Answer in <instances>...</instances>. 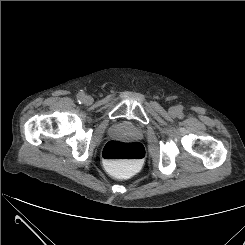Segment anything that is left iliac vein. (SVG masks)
Segmentation results:
<instances>
[{
	"instance_id": "4c4485c4",
	"label": "left iliac vein",
	"mask_w": 245,
	"mask_h": 245,
	"mask_svg": "<svg viewBox=\"0 0 245 245\" xmlns=\"http://www.w3.org/2000/svg\"><path fill=\"white\" fill-rule=\"evenodd\" d=\"M169 113H170L171 115H176V114H177V108H176V107H171V108L169 109Z\"/></svg>"
}]
</instances>
